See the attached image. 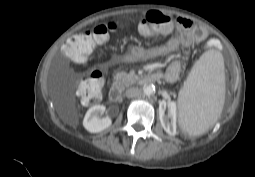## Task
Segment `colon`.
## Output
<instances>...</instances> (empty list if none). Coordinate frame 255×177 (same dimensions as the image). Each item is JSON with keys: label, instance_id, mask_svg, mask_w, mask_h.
Wrapping results in <instances>:
<instances>
[{"label": "colon", "instance_id": "1", "mask_svg": "<svg viewBox=\"0 0 255 177\" xmlns=\"http://www.w3.org/2000/svg\"><path fill=\"white\" fill-rule=\"evenodd\" d=\"M171 18L158 10H149L139 22V32L144 36L165 33L171 28ZM117 25L108 23L79 32L66 40L63 54L75 61L86 60L96 44L106 41L108 33L115 31ZM104 76L101 71L93 70L89 76L78 83L77 93L83 103L96 104L100 101Z\"/></svg>", "mask_w": 255, "mask_h": 177}]
</instances>
